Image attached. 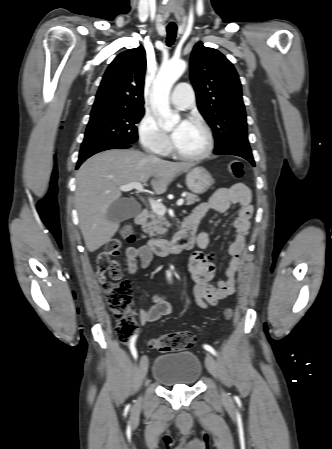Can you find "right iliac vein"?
Here are the masks:
<instances>
[{
	"label": "right iliac vein",
	"mask_w": 332,
	"mask_h": 449,
	"mask_svg": "<svg viewBox=\"0 0 332 449\" xmlns=\"http://www.w3.org/2000/svg\"><path fill=\"white\" fill-rule=\"evenodd\" d=\"M148 371V358L147 356H142L139 362V377L140 380L143 381L147 375ZM140 402V398L138 400V403Z\"/></svg>",
	"instance_id": "63e3f726"
}]
</instances>
